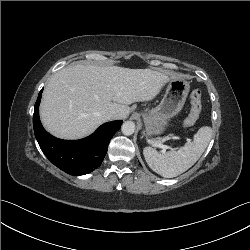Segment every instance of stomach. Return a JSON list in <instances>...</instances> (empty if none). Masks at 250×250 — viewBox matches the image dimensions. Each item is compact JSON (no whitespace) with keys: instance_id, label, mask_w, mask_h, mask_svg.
<instances>
[{"instance_id":"1","label":"stomach","mask_w":250,"mask_h":250,"mask_svg":"<svg viewBox=\"0 0 250 250\" xmlns=\"http://www.w3.org/2000/svg\"><path fill=\"white\" fill-rule=\"evenodd\" d=\"M189 89L190 85L186 80L182 78L171 79L160 104L143 113L145 123L143 135L153 137L164 133L171 118L182 110Z\"/></svg>"}]
</instances>
